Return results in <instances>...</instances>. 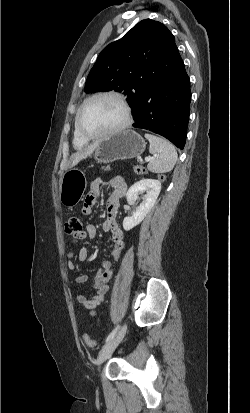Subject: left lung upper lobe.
Segmentation results:
<instances>
[{
  "label": "left lung upper lobe",
  "mask_w": 250,
  "mask_h": 413,
  "mask_svg": "<svg viewBox=\"0 0 250 413\" xmlns=\"http://www.w3.org/2000/svg\"><path fill=\"white\" fill-rule=\"evenodd\" d=\"M174 42V36L162 23L140 21L101 51L87 77L85 92H123L131 107L142 84L164 68Z\"/></svg>",
  "instance_id": "1"
}]
</instances>
